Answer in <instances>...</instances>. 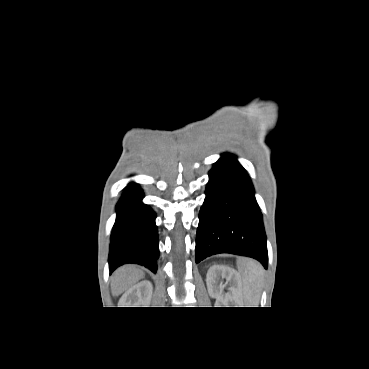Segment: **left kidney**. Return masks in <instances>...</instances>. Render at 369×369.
Returning a JSON list of instances; mask_svg holds the SVG:
<instances>
[{
    "instance_id": "left-kidney-1",
    "label": "left kidney",
    "mask_w": 369,
    "mask_h": 369,
    "mask_svg": "<svg viewBox=\"0 0 369 369\" xmlns=\"http://www.w3.org/2000/svg\"><path fill=\"white\" fill-rule=\"evenodd\" d=\"M218 276L225 277L226 280L232 284L230 288V294L227 295V298L239 304V298L241 296V293L237 288L239 285V275L231 268L212 266L208 270L206 284L209 295L216 299L221 298L223 288L221 285L217 286L216 284V279Z\"/></svg>"
}]
</instances>
